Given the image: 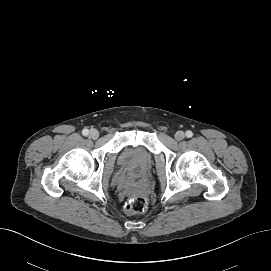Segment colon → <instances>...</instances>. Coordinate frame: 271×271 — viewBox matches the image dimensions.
I'll return each instance as SVG.
<instances>
[{
	"instance_id": "1",
	"label": "colon",
	"mask_w": 271,
	"mask_h": 271,
	"mask_svg": "<svg viewBox=\"0 0 271 271\" xmlns=\"http://www.w3.org/2000/svg\"><path fill=\"white\" fill-rule=\"evenodd\" d=\"M148 207V200L143 195H137L129 199L125 209L129 213L137 214L144 212Z\"/></svg>"
}]
</instances>
